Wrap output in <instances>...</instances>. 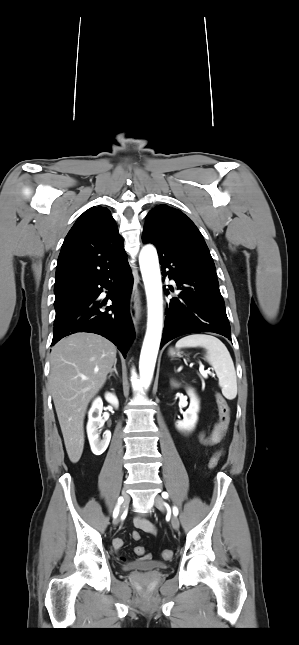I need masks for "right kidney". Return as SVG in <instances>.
Returning a JSON list of instances; mask_svg holds the SVG:
<instances>
[{
  "mask_svg": "<svg viewBox=\"0 0 299 645\" xmlns=\"http://www.w3.org/2000/svg\"><path fill=\"white\" fill-rule=\"evenodd\" d=\"M105 399L112 406L118 408L119 402L114 394L106 393ZM102 410L103 401L98 397L93 401L89 410L87 423V435L91 450L95 455H101L107 449L111 439V432L108 430L103 433L102 439L99 437L101 428L104 425V420L101 417Z\"/></svg>",
  "mask_w": 299,
  "mask_h": 645,
  "instance_id": "1",
  "label": "right kidney"
}]
</instances>
